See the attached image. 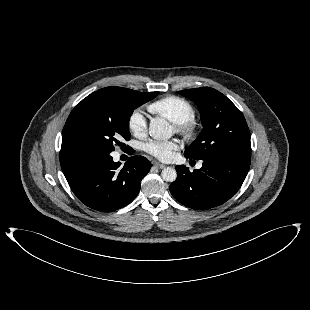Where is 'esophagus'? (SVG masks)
<instances>
[{"label":"esophagus","mask_w":310,"mask_h":310,"mask_svg":"<svg viewBox=\"0 0 310 310\" xmlns=\"http://www.w3.org/2000/svg\"><path fill=\"white\" fill-rule=\"evenodd\" d=\"M153 166L156 167V168H158V169H163V168L165 167L164 164H161V163H159V162H154V163H153Z\"/></svg>","instance_id":"34e87169"}]
</instances>
